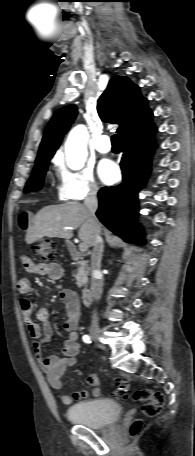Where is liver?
Segmentation results:
<instances>
[{
	"mask_svg": "<svg viewBox=\"0 0 195 456\" xmlns=\"http://www.w3.org/2000/svg\"><path fill=\"white\" fill-rule=\"evenodd\" d=\"M80 227L78 236L88 247L94 243V229L86 207L78 202L43 207L34 216L26 233V242L32 244L43 237L69 240L72 230ZM72 228V229H66Z\"/></svg>",
	"mask_w": 195,
	"mask_h": 456,
	"instance_id": "1",
	"label": "liver"
}]
</instances>
